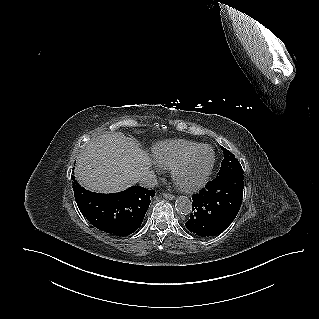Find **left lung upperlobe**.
Segmentation results:
<instances>
[{"instance_id":"obj_1","label":"left lung upper lobe","mask_w":319,"mask_h":319,"mask_svg":"<svg viewBox=\"0 0 319 319\" xmlns=\"http://www.w3.org/2000/svg\"><path fill=\"white\" fill-rule=\"evenodd\" d=\"M221 149L224 153V159L221 163L220 171L217 174V177L224 176L228 173H243L242 166L239 161L235 158L230 151L221 146Z\"/></svg>"}]
</instances>
